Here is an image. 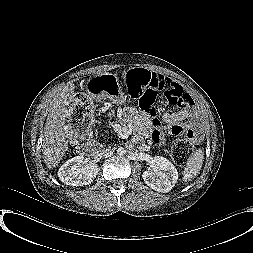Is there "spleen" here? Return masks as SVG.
<instances>
[{
    "label": "spleen",
    "mask_w": 253,
    "mask_h": 253,
    "mask_svg": "<svg viewBox=\"0 0 253 253\" xmlns=\"http://www.w3.org/2000/svg\"><path fill=\"white\" fill-rule=\"evenodd\" d=\"M204 159V153L202 149L196 150L184 169L183 180L185 182L193 179L200 171Z\"/></svg>",
    "instance_id": "spleen-1"
}]
</instances>
